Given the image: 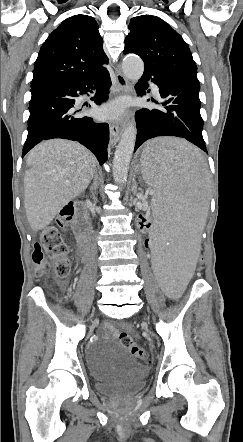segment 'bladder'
<instances>
[{
  "mask_svg": "<svg viewBox=\"0 0 243 442\" xmlns=\"http://www.w3.org/2000/svg\"><path fill=\"white\" fill-rule=\"evenodd\" d=\"M98 393L110 397H128L145 387L146 369L133 358L108 359L101 357L89 363Z\"/></svg>",
  "mask_w": 243,
  "mask_h": 442,
  "instance_id": "bladder-1",
  "label": "bladder"
}]
</instances>
